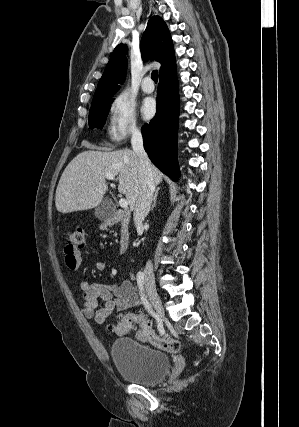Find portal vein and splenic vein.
Here are the masks:
<instances>
[{
  "label": "portal vein and splenic vein",
  "instance_id": "obj_1",
  "mask_svg": "<svg viewBox=\"0 0 299 427\" xmlns=\"http://www.w3.org/2000/svg\"><path fill=\"white\" fill-rule=\"evenodd\" d=\"M106 178L108 179V180H114V178H115V176H114V174H112V173H106ZM119 205H120V207L121 208H127L128 207V202H127V200L126 199H124V198H121L120 200H119Z\"/></svg>",
  "mask_w": 299,
  "mask_h": 427
}]
</instances>
